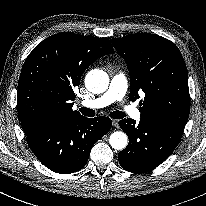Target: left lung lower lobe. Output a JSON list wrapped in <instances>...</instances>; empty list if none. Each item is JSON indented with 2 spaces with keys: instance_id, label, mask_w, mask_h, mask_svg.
Instances as JSON below:
<instances>
[{
  "instance_id": "0a47b994",
  "label": "left lung lower lobe",
  "mask_w": 206,
  "mask_h": 206,
  "mask_svg": "<svg viewBox=\"0 0 206 206\" xmlns=\"http://www.w3.org/2000/svg\"><path fill=\"white\" fill-rule=\"evenodd\" d=\"M119 126L128 135V146L119 152L120 165L129 172L146 173L165 161L181 140L183 130L130 118Z\"/></svg>"
}]
</instances>
